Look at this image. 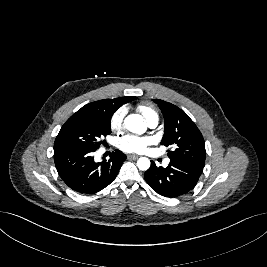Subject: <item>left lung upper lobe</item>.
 <instances>
[{
	"mask_svg": "<svg viewBox=\"0 0 267 267\" xmlns=\"http://www.w3.org/2000/svg\"><path fill=\"white\" fill-rule=\"evenodd\" d=\"M154 102L160 107L165 120L161 144L175 148L167 151L168 157L204 167L205 142L195 123L177 106L163 100L155 99Z\"/></svg>",
	"mask_w": 267,
	"mask_h": 267,
	"instance_id": "5c2ea615",
	"label": "left lung upper lobe"
}]
</instances>
